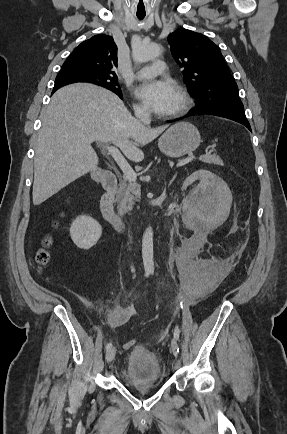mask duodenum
Wrapping results in <instances>:
<instances>
[{
  "instance_id": "duodenum-1",
  "label": "duodenum",
  "mask_w": 287,
  "mask_h": 434,
  "mask_svg": "<svg viewBox=\"0 0 287 434\" xmlns=\"http://www.w3.org/2000/svg\"><path fill=\"white\" fill-rule=\"evenodd\" d=\"M97 179L103 184L106 192L100 203L103 218L119 233L125 232L126 225L114 211V201L117 196V177L111 171L96 173Z\"/></svg>"
}]
</instances>
